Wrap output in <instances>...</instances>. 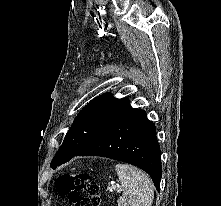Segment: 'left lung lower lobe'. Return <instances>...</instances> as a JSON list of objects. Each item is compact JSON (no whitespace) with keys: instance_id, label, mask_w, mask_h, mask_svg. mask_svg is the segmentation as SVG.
Here are the masks:
<instances>
[{"instance_id":"obj_1","label":"left lung lower lobe","mask_w":221,"mask_h":206,"mask_svg":"<svg viewBox=\"0 0 221 206\" xmlns=\"http://www.w3.org/2000/svg\"><path fill=\"white\" fill-rule=\"evenodd\" d=\"M84 155L102 156L135 165L151 176L160 191V147L156 127L147 119L144 110L129 106L74 156Z\"/></svg>"}]
</instances>
